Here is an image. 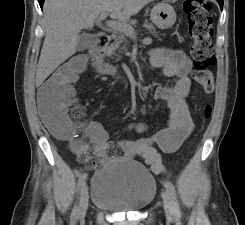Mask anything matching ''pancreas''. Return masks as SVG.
Wrapping results in <instances>:
<instances>
[{
    "instance_id": "pancreas-1",
    "label": "pancreas",
    "mask_w": 245,
    "mask_h": 225,
    "mask_svg": "<svg viewBox=\"0 0 245 225\" xmlns=\"http://www.w3.org/2000/svg\"><path fill=\"white\" fill-rule=\"evenodd\" d=\"M145 26L150 30L151 34L153 35L156 34L155 27L152 24L146 23ZM123 43L124 45L120 47ZM117 50L119 52L126 50V39L124 35L119 34L118 37L115 39V41L107 47L105 54L108 56L115 55L116 57L119 58L120 56L118 54H115V51Z\"/></svg>"
}]
</instances>
